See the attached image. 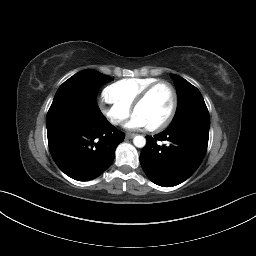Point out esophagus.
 <instances>
[{
    "label": "esophagus",
    "instance_id": "obj_1",
    "mask_svg": "<svg viewBox=\"0 0 256 256\" xmlns=\"http://www.w3.org/2000/svg\"><path fill=\"white\" fill-rule=\"evenodd\" d=\"M135 135H136V134L128 133V134H126V138H127V139H131V138L135 137Z\"/></svg>",
    "mask_w": 256,
    "mask_h": 256
}]
</instances>
